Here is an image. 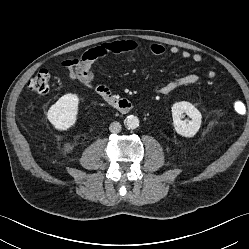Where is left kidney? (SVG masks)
Listing matches in <instances>:
<instances>
[{"label": "left kidney", "instance_id": "1", "mask_svg": "<svg viewBox=\"0 0 249 249\" xmlns=\"http://www.w3.org/2000/svg\"><path fill=\"white\" fill-rule=\"evenodd\" d=\"M171 109L175 131L183 137H193L201 127L202 115L200 111L187 101L176 102ZM183 113L191 120L188 122L182 120Z\"/></svg>", "mask_w": 249, "mask_h": 249}]
</instances>
